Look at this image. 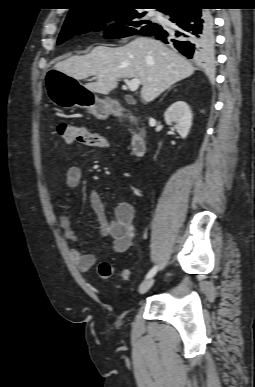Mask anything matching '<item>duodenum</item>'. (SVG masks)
<instances>
[{
    "label": "duodenum",
    "instance_id": "410a0bca",
    "mask_svg": "<svg viewBox=\"0 0 255 387\" xmlns=\"http://www.w3.org/2000/svg\"><path fill=\"white\" fill-rule=\"evenodd\" d=\"M113 112L116 114L120 113V109L117 106L112 108ZM146 151V145L144 140V134L142 131H137L133 134L131 139V154L134 158H141Z\"/></svg>",
    "mask_w": 255,
    "mask_h": 387
}]
</instances>
